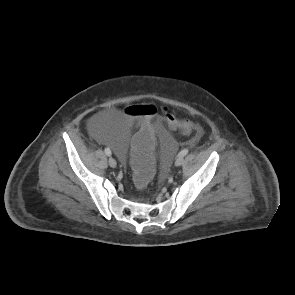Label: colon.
<instances>
[{
	"mask_svg": "<svg viewBox=\"0 0 295 295\" xmlns=\"http://www.w3.org/2000/svg\"><path fill=\"white\" fill-rule=\"evenodd\" d=\"M119 120L122 127H133L135 137L131 144L132 184L141 191L148 190L153 183L155 168L154 143L156 135L152 126L157 122L166 121L171 130L180 129L189 134L195 130V125L183 120L178 112H160L151 102L135 104L125 101L120 106Z\"/></svg>",
	"mask_w": 295,
	"mask_h": 295,
	"instance_id": "obj_1",
	"label": "colon"
}]
</instances>
